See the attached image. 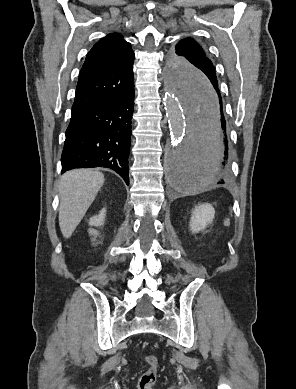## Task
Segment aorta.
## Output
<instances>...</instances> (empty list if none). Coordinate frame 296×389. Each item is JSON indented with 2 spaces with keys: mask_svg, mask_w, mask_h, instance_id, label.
I'll list each match as a JSON object with an SVG mask.
<instances>
[{
  "mask_svg": "<svg viewBox=\"0 0 296 389\" xmlns=\"http://www.w3.org/2000/svg\"><path fill=\"white\" fill-rule=\"evenodd\" d=\"M165 67L164 106L169 189H208L221 161L217 130L219 93L194 67Z\"/></svg>",
  "mask_w": 296,
  "mask_h": 389,
  "instance_id": "762f6f07",
  "label": "aorta"
}]
</instances>
